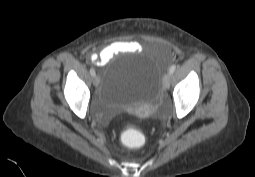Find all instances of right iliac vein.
<instances>
[{
	"instance_id": "63e3f726",
	"label": "right iliac vein",
	"mask_w": 255,
	"mask_h": 177,
	"mask_svg": "<svg viewBox=\"0 0 255 177\" xmlns=\"http://www.w3.org/2000/svg\"><path fill=\"white\" fill-rule=\"evenodd\" d=\"M99 82H100L99 77L95 75V76L93 77V85H94L95 87H97V86L99 85Z\"/></svg>"
}]
</instances>
